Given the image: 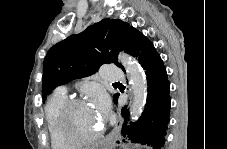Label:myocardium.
Listing matches in <instances>:
<instances>
[{
	"label": "myocardium",
	"mask_w": 227,
	"mask_h": 149,
	"mask_svg": "<svg viewBox=\"0 0 227 149\" xmlns=\"http://www.w3.org/2000/svg\"><path fill=\"white\" fill-rule=\"evenodd\" d=\"M85 102L86 101L83 98L69 99L63 104L58 113L57 123L60 135L65 141H67L71 145L75 146L92 145L101 137L104 130V127L102 126L101 129L96 134L89 137H78L70 132L69 118L71 112L76 106L84 104Z\"/></svg>",
	"instance_id": "1"
}]
</instances>
